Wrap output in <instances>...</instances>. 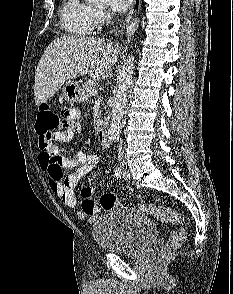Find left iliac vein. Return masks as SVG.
Masks as SVG:
<instances>
[{"mask_svg": "<svg viewBox=\"0 0 233 294\" xmlns=\"http://www.w3.org/2000/svg\"><path fill=\"white\" fill-rule=\"evenodd\" d=\"M123 176L126 180H129L130 179V172L127 168H124V171H123Z\"/></svg>", "mask_w": 233, "mask_h": 294, "instance_id": "left-iliac-vein-1", "label": "left iliac vein"}]
</instances>
